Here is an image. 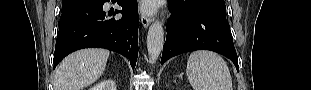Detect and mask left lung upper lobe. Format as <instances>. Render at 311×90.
I'll list each match as a JSON object with an SVG mask.
<instances>
[{
  "instance_id": "1",
  "label": "left lung upper lobe",
  "mask_w": 311,
  "mask_h": 90,
  "mask_svg": "<svg viewBox=\"0 0 311 90\" xmlns=\"http://www.w3.org/2000/svg\"><path fill=\"white\" fill-rule=\"evenodd\" d=\"M169 5L187 13H206L226 20L224 0H168Z\"/></svg>"
}]
</instances>
